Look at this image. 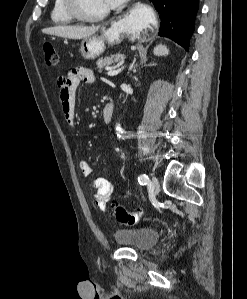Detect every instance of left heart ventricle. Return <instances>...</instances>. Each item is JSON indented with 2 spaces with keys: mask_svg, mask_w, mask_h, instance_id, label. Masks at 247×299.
<instances>
[{
  "mask_svg": "<svg viewBox=\"0 0 247 299\" xmlns=\"http://www.w3.org/2000/svg\"><path fill=\"white\" fill-rule=\"evenodd\" d=\"M81 8L88 15H96L108 9L106 0H80Z\"/></svg>",
  "mask_w": 247,
  "mask_h": 299,
  "instance_id": "b2bd125f",
  "label": "left heart ventricle"
}]
</instances>
